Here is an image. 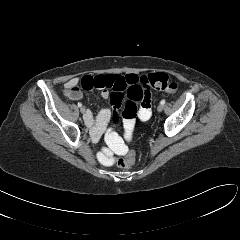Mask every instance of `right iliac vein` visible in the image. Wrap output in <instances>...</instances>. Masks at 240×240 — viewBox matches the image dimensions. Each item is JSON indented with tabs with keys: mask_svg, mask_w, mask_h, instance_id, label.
<instances>
[{
	"mask_svg": "<svg viewBox=\"0 0 240 240\" xmlns=\"http://www.w3.org/2000/svg\"><path fill=\"white\" fill-rule=\"evenodd\" d=\"M80 111H81L82 114H84L86 112V108L85 107H81Z\"/></svg>",
	"mask_w": 240,
	"mask_h": 240,
	"instance_id": "1",
	"label": "right iliac vein"
}]
</instances>
